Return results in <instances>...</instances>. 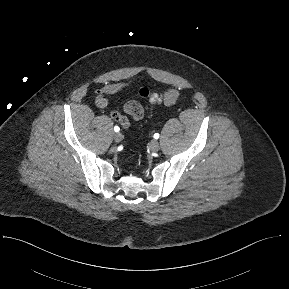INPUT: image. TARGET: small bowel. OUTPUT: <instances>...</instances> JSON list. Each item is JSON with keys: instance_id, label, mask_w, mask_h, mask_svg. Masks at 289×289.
Here are the masks:
<instances>
[{"instance_id": "1", "label": "small bowel", "mask_w": 289, "mask_h": 289, "mask_svg": "<svg viewBox=\"0 0 289 289\" xmlns=\"http://www.w3.org/2000/svg\"><path fill=\"white\" fill-rule=\"evenodd\" d=\"M131 86L132 84L126 81L103 85L97 91L95 98L96 106L100 109L107 108L109 105L110 96L118 94L121 91L130 88ZM128 116L135 121H139L143 118L144 109L138 101H128L120 109H115L111 112V118L125 129L129 128L131 125Z\"/></svg>"}]
</instances>
